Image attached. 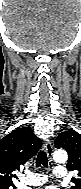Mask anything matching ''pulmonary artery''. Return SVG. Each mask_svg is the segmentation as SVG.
<instances>
[{"label": "pulmonary artery", "instance_id": "pulmonary-artery-1", "mask_svg": "<svg viewBox=\"0 0 81 189\" xmlns=\"http://www.w3.org/2000/svg\"><path fill=\"white\" fill-rule=\"evenodd\" d=\"M54 175L56 178L65 179L67 173L64 167L56 166L54 168ZM47 181V176L42 173H30L27 177L22 179V183L27 186H39Z\"/></svg>", "mask_w": 81, "mask_h": 189}]
</instances>
